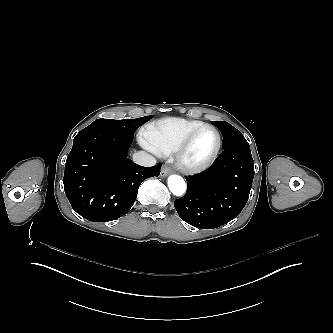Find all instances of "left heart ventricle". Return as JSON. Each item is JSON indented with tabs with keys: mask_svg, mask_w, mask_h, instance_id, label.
I'll list each match as a JSON object with an SVG mask.
<instances>
[{
	"mask_svg": "<svg viewBox=\"0 0 333 333\" xmlns=\"http://www.w3.org/2000/svg\"><path fill=\"white\" fill-rule=\"evenodd\" d=\"M217 146V136L210 128L198 132L191 140L185 159L189 163L205 162L213 154Z\"/></svg>",
	"mask_w": 333,
	"mask_h": 333,
	"instance_id": "1",
	"label": "left heart ventricle"
}]
</instances>
